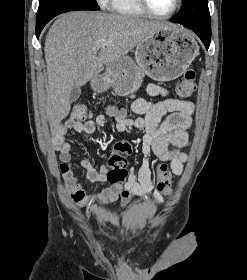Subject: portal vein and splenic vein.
<instances>
[{"mask_svg": "<svg viewBox=\"0 0 247 280\" xmlns=\"http://www.w3.org/2000/svg\"><path fill=\"white\" fill-rule=\"evenodd\" d=\"M101 46H102V44H97L95 48L99 49Z\"/></svg>", "mask_w": 247, "mask_h": 280, "instance_id": "1", "label": "portal vein and splenic vein"}]
</instances>
